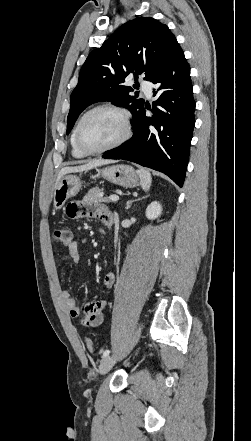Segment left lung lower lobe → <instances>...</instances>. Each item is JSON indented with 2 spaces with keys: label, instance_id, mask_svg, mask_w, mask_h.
Segmentation results:
<instances>
[{
  "label": "left lung lower lobe",
  "instance_id": "obj_1",
  "mask_svg": "<svg viewBox=\"0 0 251 441\" xmlns=\"http://www.w3.org/2000/svg\"><path fill=\"white\" fill-rule=\"evenodd\" d=\"M157 84L151 117L146 104L132 121L130 140L103 155L106 159H125L163 172L179 187L183 186L195 125V100L190 67L177 44L163 67L150 80Z\"/></svg>",
  "mask_w": 251,
  "mask_h": 441
}]
</instances>
